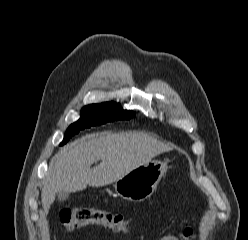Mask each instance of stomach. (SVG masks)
I'll return each mask as SVG.
<instances>
[{"mask_svg":"<svg viewBox=\"0 0 248 240\" xmlns=\"http://www.w3.org/2000/svg\"><path fill=\"white\" fill-rule=\"evenodd\" d=\"M167 171V163L151 160L114 183L116 194L129 201L139 202L149 198Z\"/></svg>","mask_w":248,"mask_h":240,"instance_id":"0dacf381","label":"stomach"}]
</instances>
